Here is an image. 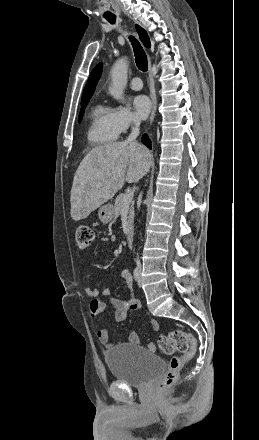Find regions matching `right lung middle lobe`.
Listing matches in <instances>:
<instances>
[{"label": "right lung middle lobe", "instance_id": "obj_1", "mask_svg": "<svg viewBox=\"0 0 259 440\" xmlns=\"http://www.w3.org/2000/svg\"><path fill=\"white\" fill-rule=\"evenodd\" d=\"M90 98H86V99H82L81 100V110H80V114H79V122L82 119L83 113H84V109L86 107V105L88 104Z\"/></svg>", "mask_w": 259, "mask_h": 440}]
</instances>
